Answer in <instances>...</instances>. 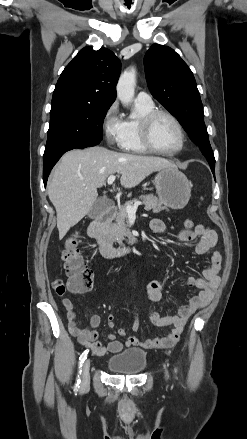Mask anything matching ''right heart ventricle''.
<instances>
[{
	"instance_id": "right-heart-ventricle-1",
	"label": "right heart ventricle",
	"mask_w": 247,
	"mask_h": 439,
	"mask_svg": "<svg viewBox=\"0 0 247 439\" xmlns=\"http://www.w3.org/2000/svg\"><path fill=\"white\" fill-rule=\"evenodd\" d=\"M155 110L153 103L145 104L135 102V116L128 117L123 121V136L120 148L127 152L145 153L147 150L140 140V121L143 116Z\"/></svg>"
}]
</instances>
